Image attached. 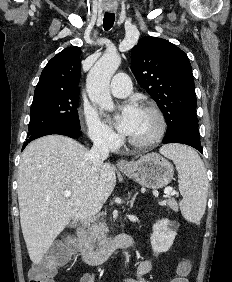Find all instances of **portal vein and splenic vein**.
Here are the masks:
<instances>
[{
  "instance_id": "18ae733b",
  "label": "portal vein and splenic vein",
  "mask_w": 232,
  "mask_h": 282,
  "mask_svg": "<svg viewBox=\"0 0 232 282\" xmlns=\"http://www.w3.org/2000/svg\"><path fill=\"white\" fill-rule=\"evenodd\" d=\"M164 193H165L167 196H169V195H174L173 189H172L171 187L165 188ZM63 194H64L65 197H70V196H71V192H70L69 190H65V191L63 192ZM162 204H164V203H162Z\"/></svg>"
}]
</instances>
